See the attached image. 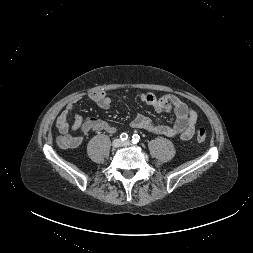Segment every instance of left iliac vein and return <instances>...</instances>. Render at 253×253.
Masks as SVG:
<instances>
[{
	"mask_svg": "<svg viewBox=\"0 0 253 253\" xmlns=\"http://www.w3.org/2000/svg\"><path fill=\"white\" fill-rule=\"evenodd\" d=\"M131 143L130 141H124L122 142V146H129Z\"/></svg>",
	"mask_w": 253,
	"mask_h": 253,
	"instance_id": "4c4485c4",
	"label": "left iliac vein"
}]
</instances>
